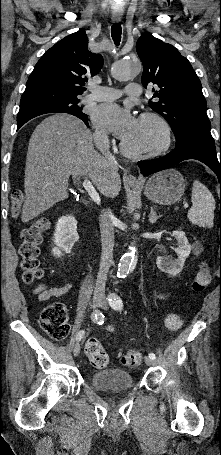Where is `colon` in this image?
<instances>
[{
  "instance_id": "colon-1",
  "label": "colon",
  "mask_w": 221,
  "mask_h": 455,
  "mask_svg": "<svg viewBox=\"0 0 221 455\" xmlns=\"http://www.w3.org/2000/svg\"><path fill=\"white\" fill-rule=\"evenodd\" d=\"M24 195L21 190L12 193L11 215L18 217L21 212ZM51 222L48 218H41L21 232V245L19 255L21 257V268L23 279L26 283H33L42 278L43 272L39 264V246L43 240L44 233L50 228ZM211 281V272L203 266L195 275L192 289L201 292L206 289ZM41 328L53 339H65L70 331V324L66 306L61 302H53L47 305L39 317ZM182 317L178 313H169L165 317V326L170 331H178L182 327ZM85 353L91 364L96 368H105L110 363L107 352L97 338H88L85 342ZM142 354L138 351H128L121 355V363L128 368L140 365Z\"/></svg>"
}]
</instances>
